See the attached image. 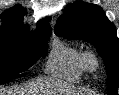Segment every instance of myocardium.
<instances>
[{
	"mask_svg": "<svg viewBox=\"0 0 119 95\" xmlns=\"http://www.w3.org/2000/svg\"><path fill=\"white\" fill-rule=\"evenodd\" d=\"M83 63L86 70L91 72L96 71L99 67V59L91 50L83 52Z\"/></svg>",
	"mask_w": 119,
	"mask_h": 95,
	"instance_id": "1",
	"label": "myocardium"
}]
</instances>
